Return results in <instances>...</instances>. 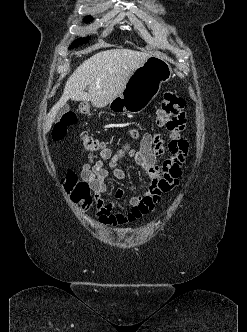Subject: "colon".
Returning <instances> with one entry per match:
<instances>
[{
  "instance_id": "1",
  "label": "colon",
  "mask_w": 247,
  "mask_h": 332,
  "mask_svg": "<svg viewBox=\"0 0 247 332\" xmlns=\"http://www.w3.org/2000/svg\"><path fill=\"white\" fill-rule=\"evenodd\" d=\"M184 98L174 90L164 93L163 100L156 111V123L158 126L166 127L171 132L179 131L184 127L185 117L183 108ZM80 112L87 114L89 107L86 104L80 106ZM77 116L75 113L63 115L61 120L53 128L52 135L55 140L63 139L68 128L75 125ZM82 145L89 155L98 154L102 151L104 143L88 134L82 135ZM64 186L71 199L82 208H89L92 203L89 185L84 181H79L74 172H70L64 179Z\"/></svg>"
}]
</instances>
